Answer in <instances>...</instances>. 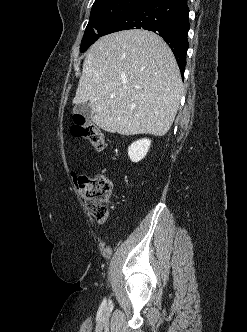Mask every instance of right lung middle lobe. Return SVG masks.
<instances>
[{
	"instance_id": "dd1d6c3e",
	"label": "right lung middle lobe",
	"mask_w": 247,
	"mask_h": 332,
	"mask_svg": "<svg viewBox=\"0 0 247 332\" xmlns=\"http://www.w3.org/2000/svg\"><path fill=\"white\" fill-rule=\"evenodd\" d=\"M147 0H99L92 6L80 52L87 50L114 21Z\"/></svg>"
}]
</instances>
